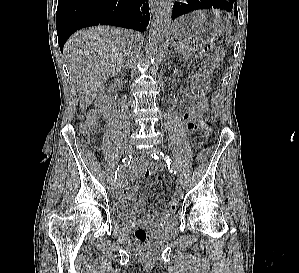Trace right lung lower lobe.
I'll return each mask as SVG.
<instances>
[{
    "instance_id": "98d812e1",
    "label": "right lung lower lobe",
    "mask_w": 299,
    "mask_h": 273,
    "mask_svg": "<svg viewBox=\"0 0 299 273\" xmlns=\"http://www.w3.org/2000/svg\"><path fill=\"white\" fill-rule=\"evenodd\" d=\"M149 19L148 0H58L56 27L60 50L63 52L67 39L81 28L113 25L143 32Z\"/></svg>"
}]
</instances>
